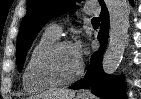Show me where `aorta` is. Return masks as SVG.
Masks as SVG:
<instances>
[{
  "mask_svg": "<svg viewBox=\"0 0 141 99\" xmlns=\"http://www.w3.org/2000/svg\"><path fill=\"white\" fill-rule=\"evenodd\" d=\"M109 12L108 47L102 60L103 71L112 75L120 65L128 38L129 7L127 0H105Z\"/></svg>",
  "mask_w": 141,
  "mask_h": 99,
  "instance_id": "aorta-1",
  "label": "aorta"
}]
</instances>
